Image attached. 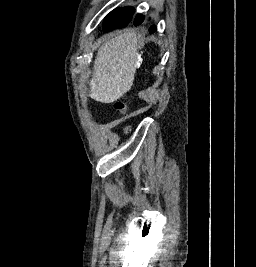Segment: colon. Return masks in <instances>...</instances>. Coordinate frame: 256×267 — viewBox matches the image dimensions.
Returning a JSON list of instances; mask_svg holds the SVG:
<instances>
[{
	"label": "colon",
	"instance_id": "colon-1",
	"mask_svg": "<svg viewBox=\"0 0 256 267\" xmlns=\"http://www.w3.org/2000/svg\"><path fill=\"white\" fill-rule=\"evenodd\" d=\"M115 107L118 109V110H125V106L123 103L121 102H118L115 104Z\"/></svg>",
	"mask_w": 256,
	"mask_h": 267
}]
</instances>
